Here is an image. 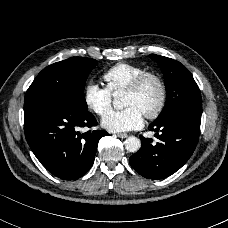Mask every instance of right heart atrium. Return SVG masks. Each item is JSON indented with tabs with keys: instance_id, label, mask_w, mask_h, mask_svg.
Segmentation results:
<instances>
[{
	"instance_id": "right-heart-atrium-1",
	"label": "right heart atrium",
	"mask_w": 228,
	"mask_h": 228,
	"mask_svg": "<svg viewBox=\"0 0 228 228\" xmlns=\"http://www.w3.org/2000/svg\"><path fill=\"white\" fill-rule=\"evenodd\" d=\"M83 98L85 105L98 115H103L112 105L110 90L94 80L86 83Z\"/></svg>"
}]
</instances>
